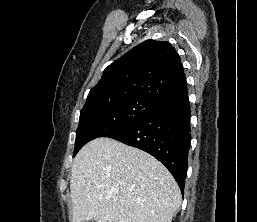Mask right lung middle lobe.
I'll return each instance as SVG.
<instances>
[{
    "label": "right lung middle lobe",
    "instance_id": "1",
    "mask_svg": "<svg viewBox=\"0 0 257 222\" xmlns=\"http://www.w3.org/2000/svg\"><path fill=\"white\" fill-rule=\"evenodd\" d=\"M158 105V102L144 97L86 102L80 112L73 156L87 142L98 137H109L131 126Z\"/></svg>",
    "mask_w": 257,
    "mask_h": 222
}]
</instances>
